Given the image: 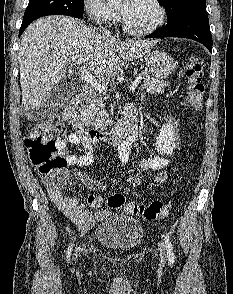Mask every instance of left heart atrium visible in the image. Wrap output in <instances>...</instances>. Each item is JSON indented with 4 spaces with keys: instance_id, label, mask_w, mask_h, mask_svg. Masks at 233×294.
Segmentation results:
<instances>
[{
    "instance_id": "obj_1",
    "label": "left heart atrium",
    "mask_w": 233,
    "mask_h": 294,
    "mask_svg": "<svg viewBox=\"0 0 233 294\" xmlns=\"http://www.w3.org/2000/svg\"><path fill=\"white\" fill-rule=\"evenodd\" d=\"M131 0H127V3H130Z\"/></svg>"
}]
</instances>
